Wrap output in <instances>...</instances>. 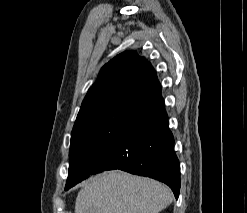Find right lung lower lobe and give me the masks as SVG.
I'll use <instances>...</instances> for the list:
<instances>
[{"label":"right lung lower lobe","mask_w":247,"mask_h":213,"mask_svg":"<svg viewBox=\"0 0 247 213\" xmlns=\"http://www.w3.org/2000/svg\"><path fill=\"white\" fill-rule=\"evenodd\" d=\"M112 169L159 180L178 198L180 165L161 90L131 103L119 134L100 155L95 173Z\"/></svg>","instance_id":"98d812e1"}]
</instances>
